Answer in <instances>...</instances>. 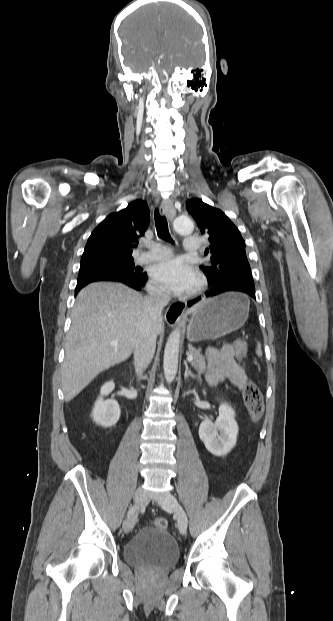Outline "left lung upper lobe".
<instances>
[{"label":"left lung upper lobe","mask_w":333,"mask_h":621,"mask_svg":"<svg viewBox=\"0 0 333 621\" xmlns=\"http://www.w3.org/2000/svg\"><path fill=\"white\" fill-rule=\"evenodd\" d=\"M186 208L201 233L209 235L210 246L205 254L210 253L211 256L200 265L208 284L215 286L231 278L253 280L245 242L225 213L198 198L188 200Z\"/></svg>","instance_id":"5c2ea615"}]
</instances>
